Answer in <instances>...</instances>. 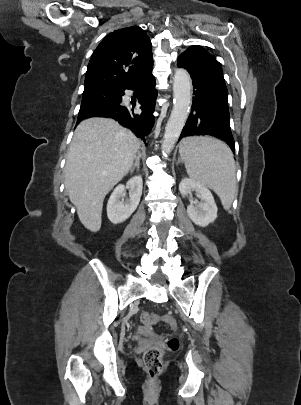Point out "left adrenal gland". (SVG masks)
Instances as JSON below:
<instances>
[{
  "label": "left adrenal gland",
  "mask_w": 301,
  "mask_h": 405,
  "mask_svg": "<svg viewBox=\"0 0 301 405\" xmlns=\"http://www.w3.org/2000/svg\"><path fill=\"white\" fill-rule=\"evenodd\" d=\"M182 162L181 158L178 159V163Z\"/></svg>",
  "instance_id": "left-adrenal-gland-1"
}]
</instances>
